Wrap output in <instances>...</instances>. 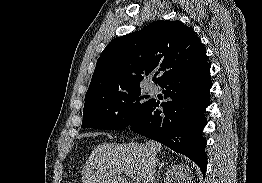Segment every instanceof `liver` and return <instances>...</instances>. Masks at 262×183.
Instances as JSON below:
<instances>
[{"label": "liver", "instance_id": "obj_1", "mask_svg": "<svg viewBox=\"0 0 262 183\" xmlns=\"http://www.w3.org/2000/svg\"><path fill=\"white\" fill-rule=\"evenodd\" d=\"M159 142L117 144L104 142L91 152L82 170V183H128L122 176L129 170L142 183H155Z\"/></svg>", "mask_w": 262, "mask_h": 183}]
</instances>
